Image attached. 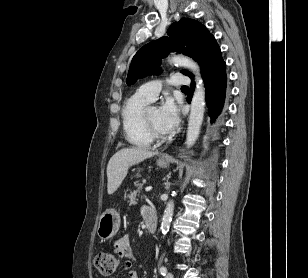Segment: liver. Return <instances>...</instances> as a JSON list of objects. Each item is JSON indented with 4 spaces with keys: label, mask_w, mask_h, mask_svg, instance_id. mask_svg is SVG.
I'll list each match as a JSON object with an SVG mask.
<instances>
[{
    "label": "liver",
    "mask_w": 308,
    "mask_h": 278,
    "mask_svg": "<svg viewBox=\"0 0 308 278\" xmlns=\"http://www.w3.org/2000/svg\"><path fill=\"white\" fill-rule=\"evenodd\" d=\"M157 154L140 147L124 148L116 152L107 165L108 194L112 195L120 187L131 166Z\"/></svg>",
    "instance_id": "obj_1"
}]
</instances>
